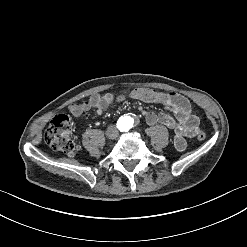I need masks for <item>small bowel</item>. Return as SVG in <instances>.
Here are the masks:
<instances>
[{
    "label": "small bowel",
    "instance_id": "obj_1",
    "mask_svg": "<svg viewBox=\"0 0 247 247\" xmlns=\"http://www.w3.org/2000/svg\"><path fill=\"white\" fill-rule=\"evenodd\" d=\"M125 101V95L122 92L105 93L103 95H93L87 101L74 103L70 105L71 115L77 119L82 114L94 110L96 113H103L114 102L122 104ZM171 111L174 116L166 113H155L153 111H142V116L148 125L157 123L163 124L174 131V147L177 151L183 152L187 147L186 138L196 136L197 126L189 125L191 106L189 101L172 92H161L159 100L156 102Z\"/></svg>",
    "mask_w": 247,
    "mask_h": 247
}]
</instances>
